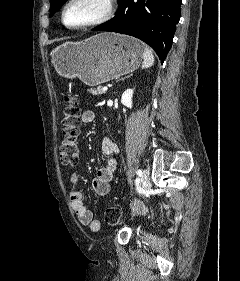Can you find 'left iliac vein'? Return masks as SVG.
I'll return each mask as SVG.
<instances>
[{"label": "left iliac vein", "mask_w": 240, "mask_h": 281, "mask_svg": "<svg viewBox=\"0 0 240 281\" xmlns=\"http://www.w3.org/2000/svg\"><path fill=\"white\" fill-rule=\"evenodd\" d=\"M141 182L144 188H147L150 183L149 171L144 169L141 176Z\"/></svg>", "instance_id": "obj_1"}]
</instances>
